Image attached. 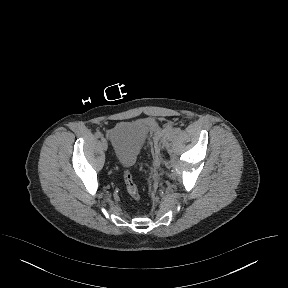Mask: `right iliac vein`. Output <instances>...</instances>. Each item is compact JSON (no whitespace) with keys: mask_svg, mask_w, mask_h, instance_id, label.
<instances>
[{"mask_svg":"<svg viewBox=\"0 0 288 288\" xmlns=\"http://www.w3.org/2000/svg\"><path fill=\"white\" fill-rule=\"evenodd\" d=\"M101 146L104 150H107L108 144H107V141L105 139H101Z\"/></svg>","mask_w":288,"mask_h":288,"instance_id":"obj_1","label":"right iliac vein"}]
</instances>
